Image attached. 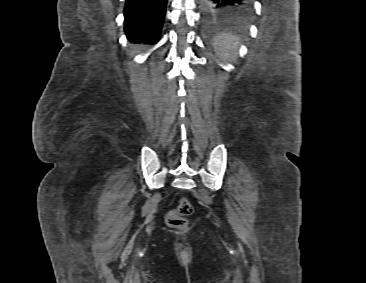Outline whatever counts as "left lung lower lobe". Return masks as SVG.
<instances>
[{
	"label": "left lung lower lobe",
	"mask_w": 366,
	"mask_h": 283,
	"mask_svg": "<svg viewBox=\"0 0 366 283\" xmlns=\"http://www.w3.org/2000/svg\"><path fill=\"white\" fill-rule=\"evenodd\" d=\"M203 11L211 16L229 15L252 6L253 0H199Z\"/></svg>",
	"instance_id": "0a47b994"
}]
</instances>
